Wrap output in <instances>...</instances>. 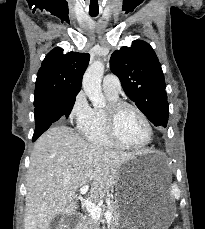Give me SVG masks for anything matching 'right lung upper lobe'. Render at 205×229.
Masks as SVG:
<instances>
[{
    "mask_svg": "<svg viewBox=\"0 0 205 229\" xmlns=\"http://www.w3.org/2000/svg\"><path fill=\"white\" fill-rule=\"evenodd\" d=\"M89 58L88 53L63 54L62 48L50 51L37 74L34 101L77 95Z\"/></svg>",
    "mask_w": 205,
    "mask_h": 229,
    "instance_id": "right-lung-upper-lobe-1",
    "label": "right lung upper lobe"
}]
</instances>
